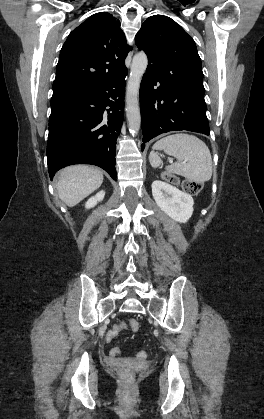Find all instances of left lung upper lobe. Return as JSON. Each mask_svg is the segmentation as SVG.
<instances>
[{
  "instance_id": "1",
  "label": "left lung upper lobe",
  "mask_w": 264,
  "mask_h": 419,
  "mask_svg": "<svg viewBox=\"0 0 264 419\" xmlns=\"http://www.w3.org/2000/svg\"><path fill=\"white\" fill-rule=\"evenodd\" d=\"M135 43L148 55V67L156 70L162 78L177 79L187 86L203 83L196 44L171 18L163 15L149 17L136 34Z\"/></svg>"
}]
</instances>
